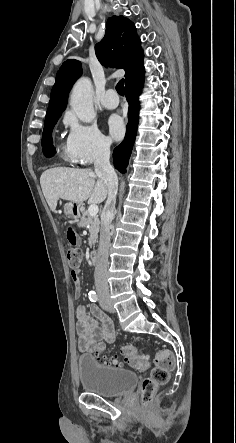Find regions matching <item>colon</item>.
Listing matches in <instances>:
<instances>
[{"mask_svg": "<svg viewBox=\"0 0 236 443\" xmlns=\"http://www.w3.org/2000/svg\"><path fill=\"white\" fill-rule=\"evenodd\" d=\"M66 236L71 244L78 241V235L72 225L66 227ZM67 261L71 269L73 281L77 279V271L81 263V252L77 248H71L67 251ZM121 353L128 360V366L138 371H145L149 367L148 358L144 355L138 354L136 348L127 344L122 346ZM92 354L97 360L104 364L119 367L121 362L117 357H108L105 353V345L103 343H96L92 349ZM174 366V357L169 351L159 352L154 359V366L150 371L149 376L143 381L141 388V398L143 403H147L152 398L157 387L165 384L170 375V371Z\"/></svg>", "mask_w": 236, "mask_h": 443, "instance_id": "5ec220e1", "label": "colon"}]
</instances>
